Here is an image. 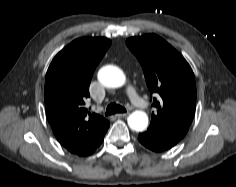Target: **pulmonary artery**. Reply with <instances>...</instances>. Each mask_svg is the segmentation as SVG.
<instances>
[{
	"label": "pulmonary artery",
	"mask_w": 236,
	"mask_h": 187,
	"mask_svg": "<svg viewBox=\"0 0 236 187\" xmlns=\"http://www.w3.org/2000/svg\"><path fill=\"white\" fill-rule=\"evenodd\" d=\"M126 95L128 98L134 103V104H139L141 102L140 98L137 95V92L135 88L132 85H128L126 87Z\"/></svg>",
	"instance_id": "1"
}]
</instances>
